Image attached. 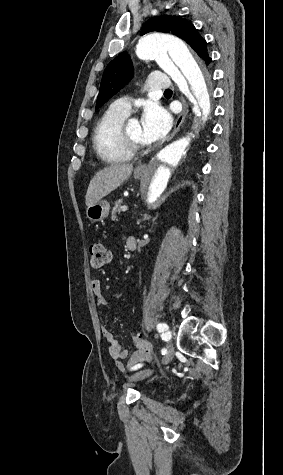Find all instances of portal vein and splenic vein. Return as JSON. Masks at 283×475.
Masks as SVG:
<instances>
[{"mask_svg": "<svg viewBox=\"0 0 283 475\" xmlns=\"http://www.w3.org/2000/svg\"><path fill=\"white\" fill-rule=\"evenodd\" d=\"M121 210L122 212H126V210H128V206H121Z\"/></svg>", "mask_w": 283, "mask_h": 475, "instance_id": "portal-vein-and-splenic-vein-1", "label": "portal vein and splenic vein"}]
</instances>
